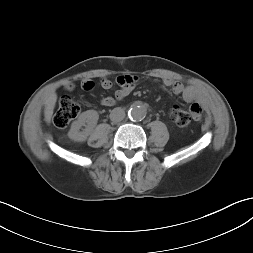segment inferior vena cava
<instances>
[{"label":"inferior vena cava","mask_w":253,"mask_h":253,"mask_svg":"<svg viewBox=\"0 0 253 253\" xmlns=\"http://www.w3.org/2000/svg\"><path fill=\"white\" fill-rule=\"evenodd\" d=\"M124 118H125V111H124L122 108L117 107V108H114V109L111 111L110 119H111L113 122H120V121H122Z\"/></svg>","instance_id":"1"}]
</instances>
